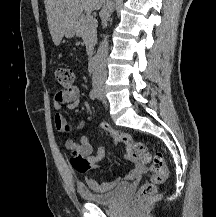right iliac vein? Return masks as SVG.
<instances>
[{"label": "right iliac vein", "mask_w": 216, "mask_h": 217, "mask_svg": "<svg viewBox=\"0 0 216 217\" xmlns=\"http://www.w3.org/2000/svg\"><path fill=\"white\" fill-rule=\"evenodd\" d=\"M96 92H97L98 96H100L101 98L104 96V88L98 87V88H96Z\"/></svg>", "instance_id": "obj_1"}]
</instances>
